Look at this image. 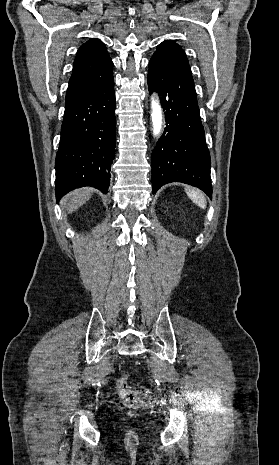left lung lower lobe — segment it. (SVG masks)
<instances>
[{"mask_svg":"<svg viewBox=\"0 0 279 465\" xmlns=\"http://www.w3.org/2000/svg\"><path fill=\"white\" fill-rule=\"evenodd\" d=\"M147 82L166 110V127L152 155V193L170 182L203 190L210 198V155L190 67L152 56Z\"/></svg>","mask_w":279,"mask_h":465,"instance_id":"0a47b994","label":"left lung lower lobe"}]
</instances>
